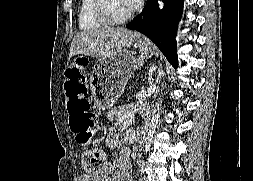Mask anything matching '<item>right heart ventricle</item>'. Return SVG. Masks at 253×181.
<instances>
[{
	"label": "right heart ventricle",
	"instance_id": "obj_1",
	"mask_svg": "<svg viewBox=\"0 0 253 181\" xmlns=\"http://www.w3.org/2000/svg\"><path fill=\"white\" fill-rule=\"evenodd\" d=\"M96 0H81L78 14V24L82 31H93L106 24L96 15Z\"/></svg>",
	"mask_w": 253,
	"mask_h": 181
}]
</instances>
